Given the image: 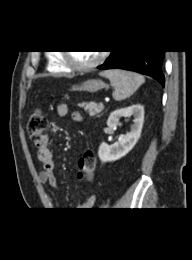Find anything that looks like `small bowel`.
Returning <instances> with one entry per match:
<instances>
[{
	"label": "small bowel",
	"instance_id": "c3829d8e",
	"mask_svg": "<svg viewBox=\"0 0 192 260\" xmlns=\"http://www.w3.org/2000/svg\"><path fill=\"white\" fill-rule=\"evenodd\" d=\"M58 112L60 115H65L67 113L66 105H58ZM72 116L74 120H81V116L78 113H73ZM50 145L51 139L48 136H44L42 141L36 145L38 148L37 157L42 166V169L39 173V180L42 184H49L51 187H57L58 179L54 172L55 162ZM95 202L96 196L90 195L85 201L78 205V209L90 210L94 207Z\"/></svg>",
	"mask_w": 192,
	"mask_h": 260
}]
</instances>
